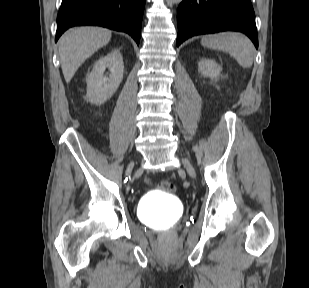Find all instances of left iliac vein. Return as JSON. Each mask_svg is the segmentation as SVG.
I'll list each match as a JSON object with an SVG mask.
<instances>
[{"instance_id": "left-iliac-vein-1", "label": "left iliac vein", "mask_w": 309, "mask_h": 288, "mask_svg": "<svg viewBox=\"0 0 309 288\" xmlns=\"http://www.w3.org/2000/svg\"><path fill=\"white\" fill-rule=\"evenodd\" d=\"M183 165L190 174V176L195 177V170L192 164L187 159H182Z\"/></svg>"}]
</instances>
